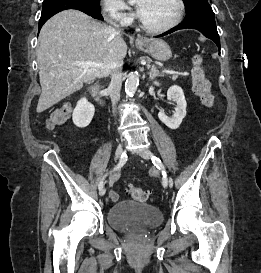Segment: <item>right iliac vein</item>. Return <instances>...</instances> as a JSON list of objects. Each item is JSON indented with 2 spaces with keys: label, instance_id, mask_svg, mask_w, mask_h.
<instances>
[{
  "label": "right iliac vein",
  "instance_id": "obj_1",
  "mask_svg": "<svg viewBox=\"0 0 261 273\" xmlns=\"http://www.w3.org/2000/svg\"><path fill=\"white\" fill-rule=\"evenodd\" d=\"M123 145L120 143L118 146H117V149H116V152H115V158L116 159H119L121 157V155L123 154ZM106 193V189L105 188H102L99 190V195L100 196H104Z\"/></svg>",
  "mask_w": 261,
  "mask_h": 273
}]
</instances>
